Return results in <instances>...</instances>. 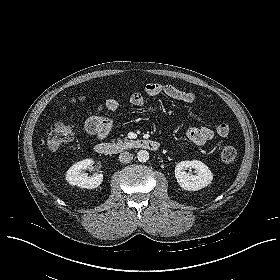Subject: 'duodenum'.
Wrapping results in <instances>:
<instances>
[{"label":"duodenum","instance_id":"1","mask_svg":"<svg viewBox=\"0 0 280 280\" xmlns=\"http://www.w3.org/2000/svg\"><path fill=\"white\" fill-rule=\"evenodd\" d=\"M160 148L158 141L153 139H137L126 144L98 143L95 151L100 155H117L127 150L144 149L157 152Z\"/></svg>","mask_w":280,"mask_h":280}]
</instances>
